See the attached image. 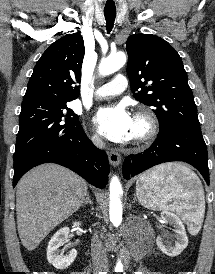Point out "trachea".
I'll return each mask as SVG.
<instances>
[{"label":"trachea","mask_w":215,"mask_h":274,"mask_svg":"<svg viewBox=\"0 0 215 274\" xmlns=\"http://www.w3.org/2000/svg\"><path fill=\"white\" fill-rule=\"evenodd\" d=\"M105 15V19H106V29L107 32H111L113 25H114V21H115V17H116V13H104Z\"/></svg>","instance_id":"obj_1"}]
</instances>
